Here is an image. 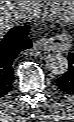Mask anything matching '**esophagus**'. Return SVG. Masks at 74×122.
I'll list each match as a JSON object with an SVG mask.
<instances>
[{
    "label": "esophagus",
    "mask_w": 74,
    "mask_h": 122,
    "mask_svg": "<svg viewBox=\"0 0 74 122\" xmlns=\"http://www.w3.org/2000/svg\"><path fill=\"white\" fill-rule=\"evenodd\" d=\"M35 50H49L50 43L47 39L43 38L34 42Z\"/></svg>",
    "instance_id": "34e87169"
}]
</instances>
